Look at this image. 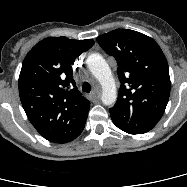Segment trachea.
Returning <instances> with one entry per match:
<instances>
[{
	"label": "trachea",
	"mask_w": 187,
	"mask_h": 187,
	"mask_svg": "<svg viewBox=\"0 0 187 187\" xmlns=\"http://www.w3.org/2000/svg\"><path fill=\"white\" fill-rule=\"evenodd\" d=\"M82 90H83L84 92L89 93V92L91 91V86H90V84L87 83V82H85V83L83 84V86H82Z\"/></svg>",
	"instance_id": "3493384b"
}]
</instances>
